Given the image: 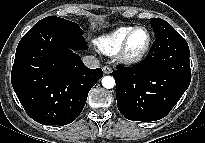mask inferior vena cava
I'll return each instance as SVG.
<instances>
[{"label":"inferior vena cava","mask_w":205,"mask_h":143,"mask_svg":"<svg viewBox=\"0 0 205 143\" xmlns=\"http://www.w3.org/2000/svg\"><path fill=\"white\" fill-rule=\"evenodd\" d=\"M82 61L90 69H96L99 67V60L95 56H84Z\"/></svg>","instance_id":"obj_1"}]
</instances>
